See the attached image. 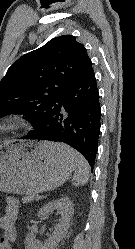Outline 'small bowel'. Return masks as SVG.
<instances>
[{"instance_id": "c3829d8e", "label": "small bowel", "mask_w": 135, "mask_h": 249, "mask_svg": "<svg viewBox=\"0 0 135 249\" xmlns=\"http://www.w3.org/2000/svg\"><path fill=\"white\" fill-rule=\"evenodd\" d=\"M19 213V202L14 198L7 199L5 213L0 217V228L5 235L0 238V249H9V244L15 239V222Z\"/></svg>"}]
</instances>
